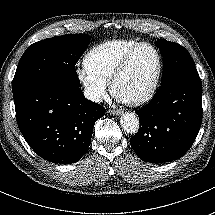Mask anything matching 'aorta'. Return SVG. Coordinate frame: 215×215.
Segmentation results:
<instances>
[{"instance_id": "762f6f07", "label": "aorta", "mask_w": 215, "mask_h": 215, "mask_svg": "<svg viewBox=\"0 0 215 215\" xmlns=\"http://www.w3.org/2000/svg\"><path fill=\"white\" fill-rule=\"evenodd\" d=\"M121 126L128 134H135L140 127V120L134 113H127L121 118Z\"/></svg>"}]
</instances>
